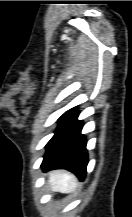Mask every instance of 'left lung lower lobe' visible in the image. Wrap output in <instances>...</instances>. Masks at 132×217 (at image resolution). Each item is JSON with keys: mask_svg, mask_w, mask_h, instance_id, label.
I'll use <instances>...</instances> for the list:
<instances>
[{"mask_svg": "<svg viewBox=\"0 0 132 217\" xmlns=\"http://www.w3.org/2000/svg\"><path fill=\"white\" fill-rule=\"evenodd\" d=\"M78 114L77 109L72 108L60 117L55 135L46 145L47 151L41 164L44 171L67 169L80 180L85 178L88 156Z\"/></svg>", "mask_w": 132, "mask_h": 217, "instance_id": "0a47b994", "label": "left lung lower lobe"}]
</instances>
